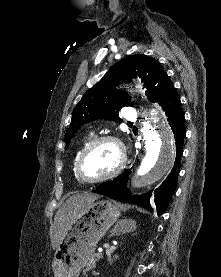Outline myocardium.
Wrapping results in <instances>:
<instances>
[{"instance_id":"f54148a6","label":"myocardium","mask_w":221,"mask_h":277,"mask_svg":"<svg viewBox=\"0 0 221 277\" xmlns=\"http://www.w3.org/2000/svg\"><path fill=\"white\" fill-rule=\"evenodd\" d=\"M104 142H110L113 143L119 153V161L117 166L108 174L101 176V177H97V178H87L83 175L82 173V163L83 160L85 159V157L87 156V154L93 150L96 146H98L101 143ZM126 164V150L125 147L123 145V143L121 142V140L115 136L112 135H103V136H99L93 140H91L80 152L76 163H75V173L77 178L84 182V183H99V182H103L106 180H109L115 176H117L122 169L124 168Z\"/></svg>"}]
</instances>
